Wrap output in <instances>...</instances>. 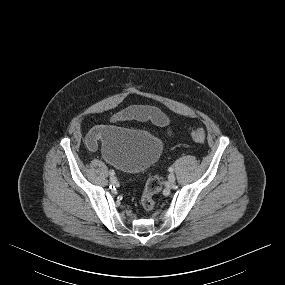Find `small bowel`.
Listing matches in <instances>:
<instances>
[{
	"label": "small bowel",
	"mask_w": 285,
	"mask_h": 285,
	"mask_svg": "<svg viewBox=\"0 0 285 285\" xmlns=\"http://www.w3.org/2000/svg\"><path fill=\"white\" fill-rule=\"evenodd\" d=\"M125 120L150 121L157 126L166 128L170 136L173 134L167 115L154 106L135 105L113 114L110 118L111 122ZM103 128L104 126L101 125L96 126L87 134L85 144L89 150L94 151L97 149Z\"/></svg>",
	"instance_id": "small-bowel-1"
}]
</instances>
